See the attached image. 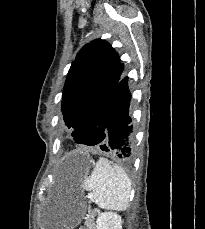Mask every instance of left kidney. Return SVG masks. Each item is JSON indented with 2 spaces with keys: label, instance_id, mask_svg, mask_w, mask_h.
<instances>
[{
  "label": "left kidney",
  "instance_id": "5707ae66",
  "mask_svg": "<svg viewBox=\"0 0 205 229\" xmlns=\"http://www.w3.org/2000/svg\"><path fill=\"white\" fill-rule=\"evenodd\" d=\"M97 229H122L121 217L115 212H103L96 221Z\"/></svg>",
  "mask_w": 205,
  "mask_h": 229
}]
</instances>
